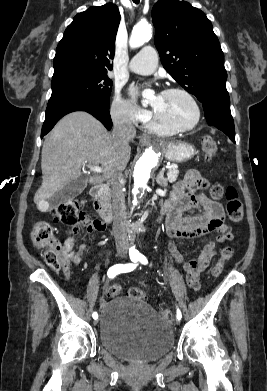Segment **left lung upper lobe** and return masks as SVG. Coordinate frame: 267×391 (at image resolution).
<instances>
[{
	"mask_svg": "<svg viewBox=\"0 0 267 391\" xmlns=\"http://www.w3.org/2000/svg\"><path fill=\"white\" fill-rule=\"evenodd\" d=\"M152 21L155 46L173 78L202 103L229 98L224 55L205 13L185 1L159 0Z\"/></svg>",
	"mask_w": 267,
	"mask_h": 391,
	"instance_id": "obj_1",
	"label": "left lung upper lobe"
}]
</instances>
